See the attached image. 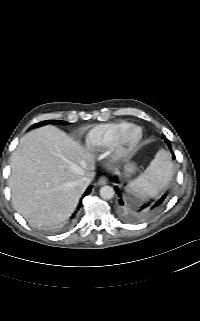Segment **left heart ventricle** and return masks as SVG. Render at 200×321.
<instances>
[{
  "label": "left heart ventricle",
  "instance_id": "b2bd125f",
  "mask_svg": "<svg viewBox=\"0 0 200 321\" xmlns=\"http://www.w3.org/2000/svg\"><path fill=\"white\" fill-rule=\"evenodd\" d=\"M138 135V131L137 130H134L133 132H131L130 134V139H134L135 137H137Z\"/></svg>",
  "mask_w": 200,
  "mask_h": 321
}]
</instances>
